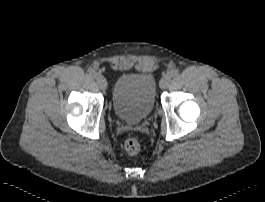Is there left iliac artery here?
<instances>
[{
	"mask_svg": "<svg viewBox=\"0 0 265 202\" xmlns=\"http://www.w3.org/2000/svg\"><path fill=\"white\" fill-rule=\"evenodd\" d=\"M178 74H179V70H178V69H173V70L171 71V75H172L173 77L178 76Z\"/></svg>",
	"mask_w": 265,
	"mask_h": 202,
	"instance_id": "44dca946",
	"label": "left iliac artery"
}]
</instances>
